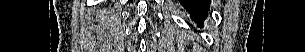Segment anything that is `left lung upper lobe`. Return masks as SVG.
I'll return each instance as SVG.
<instances>
[{"label":"left lung upper lobe","instance_id":"obj_1","mask_svg":"<svg viewBox=\"0 0 305 52\" xmlns=\"http://www.w3.org/2000/svg\"><path fill=\"white\" fill-rule=\"evenodd\" d=\"M190 13V17L195 22H202L207 18V13L199 11L197 9H186Z\"/></svg>","mask_w":305,"mask_h":52}]
</instances>
